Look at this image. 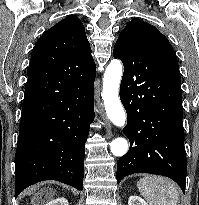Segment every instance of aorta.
I'll use <instances>...</instances> for the list:
<instances>
[{
	"label": "aorta",
	"mask_w": 199,
	"mask_h": 205,
	"mask_svg": "<svg viewBox=\"0 0 199 205\" xmlns=\"http://www.w3.org/2000/svg\"><path fill=\"white\" fill-rule=\"evenodd\" d=\"M123 73V65L118 59H113L107 66L103 78L102 99L110 121L124 127L126 114L119 99V86ZM114 156L121 157L128 151V142L125 138H116L110 144Z\"/></svg>",
	"instance_id": "aorta-1"
}]
</instances>
